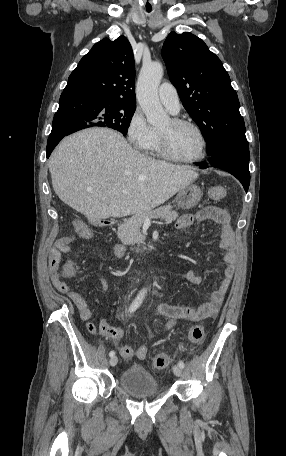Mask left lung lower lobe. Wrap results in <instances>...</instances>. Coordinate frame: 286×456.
I'll return each instance as SVG.
<instances>
[{
    "label": "left lung lower lobe",
    "instance_id": "left-lung-lower-lobe-1",
    "mask_svg": "<svg viewBox=\"0 0 286 456\" xmlns=\"http://www.w3.org/2000/svg\"><path fill=\"white\" fill-rule=\"evenodd\" d=\"M209 164L234 175L248 191L250 184L249 145H225L214 149L210 154ZM201 169L208 168V163H196Z\"/></svg>",
    "mask_w": 286,
    "mask_h": 456
}]
</instances>
